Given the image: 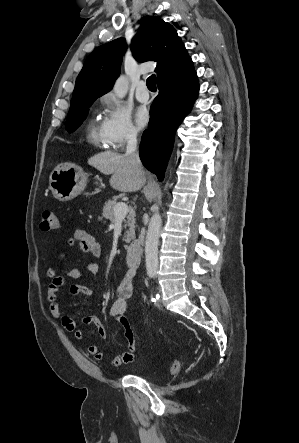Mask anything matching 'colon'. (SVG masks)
Returning <instances> with one entry per match:
<instances>
[{"instance_id":"5ec220e1","label":"colon","mask_w":299,"mask_h":443,"mask_svg":"<svg viewBox=\"0 0 299 443\" xmlns=\"http://www.w3.org/2000/svg\"><path fill=\"white\" fill-rule=\"evenodd\" d=\"M40 227L43 231L57 229L58 218L56 214L51 210L44 211L42 214V222L40 224ZM125 325L127 328V335L131 339V341H133L136 345L141 344V340L128 318L125 320ZM179 368H180V362L178 360H175L171 366V372L176 373L179 371Z\"/></svg>"}]
</instances>
